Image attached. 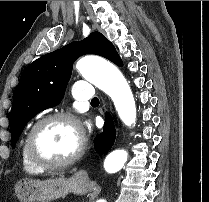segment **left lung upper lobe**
<instances>
[{
	"mask_svg": "<svg viewBox=\"0 0 209 202\" xmlns=\"http://www.w3.org/2000/svg\"><path fill=\"white\" fill-rule=\"evenodd\" d=\"M85 54L100 55L118 66L123 65L113 44L99 32H93L82 41L72 42L32 62L22 72L13 98L10 113L12 147H15L30 119L61 102L73 63Z\"/></svg>",
	"mask_w": 209,
	"mask_h": 202,
	"instance_id": "5c2ea615",
	"label": "left lung upper lobe"
}]
</instances>
